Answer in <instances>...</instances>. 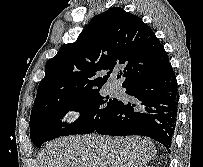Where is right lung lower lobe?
<instances>
[{
    "mask_svg": "<svg viewBox=\"0 0 203 167\" xmlns=\"http://www.w3.org/2000/svg\"><path fill=\"white\" fill-rule=\"evenodd\" d=\"M125 88L135 101H120L94 132L111 136H147L170 150L179 100L176 76L171 65Z\"/></svg>",
    "mask_w": 203,
    "mask_h": 167,
    "instance_id": "right-lung-lower-lobe-1",
    "label": "right lung lower lobe"
}]
</instances>
